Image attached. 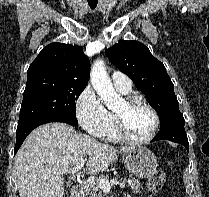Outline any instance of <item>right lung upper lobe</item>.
Returning <instances> with one entry per match:
<instances>
[{"label":"right lung upper lobe","mask_w":209,"mask_h":197,"mask_svg":"<svg viewBox=\"0 0 209 197\" xmlns=\"http://www.w3.org/2000/svg\"><path fill=\"white\" fill-rule=\"evenodd\" d=\"M89 75L90 62L81 46L54 42L28 68L27 83L45 80L87 85Z\"/></svg>","instance_id":"cb5924a9"}]
</instances>
